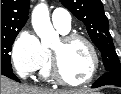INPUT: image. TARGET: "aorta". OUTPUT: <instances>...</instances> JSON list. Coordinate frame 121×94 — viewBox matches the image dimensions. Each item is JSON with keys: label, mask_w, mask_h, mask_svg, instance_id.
<instances>
[{"label": "aorta", "mask_w": 121, "mask_h": 94, "mask_svg": "<svg viewBox=\"0 0 121 94\" xmlns=\"http://www.w3.org/2000/svg\"><path fill=\"white\" fill-rule=\"evenodd\" d=\"M31 22L34 31L41 39V45L45 48L51 47L58 39V33L52 26L49 9L45 3H40L33 9Z\"/></svg>", "instance_id": "1"}]
</instances>
